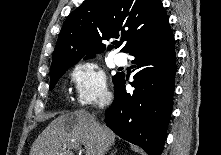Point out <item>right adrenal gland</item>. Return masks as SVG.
Returning a JSON list of instances; mask_svg holds the SVG:
<instances>
[{
    "mask_svg": "<svg viewBox=\"0 0 221 155\" xmlns=\"http://www.w3.org/2000/svg\"><path fill=\"white\" fill-rule=\"evenodd\" d=\"M110 149V148H109ZM108 149V150H109ZM117 152V149H115V150H113L111 153H110V155H115V153Z\"/></svg>",
    "mask_w": 221,
    "mask_h": 155,
    "instance_id": "obj_1",
    "label": "right adrenal gland"
}]
</instances>
